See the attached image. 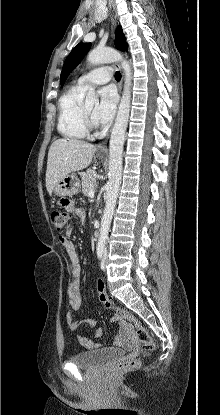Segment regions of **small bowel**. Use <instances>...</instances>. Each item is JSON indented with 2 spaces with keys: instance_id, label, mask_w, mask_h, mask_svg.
Masks as SVG:
<instances>
[{
  "instance_id": "1",
  "label": "small bowel",
  "mask_w": 220,
  "mask_h": 415,
  "mask_svg": "<svg viewBox=\"0 0 220 415\" xmlns=\"http://www.w3.org/2000/svg\"><path fill=\"white\" fill-rule=\"evenodd\" d=\"M66 209L67 211L77 215L82 220H85V213L83 209L79 207L78 205L70 204L66 207ZM71 232H72V227L69 226L64 234H61L58 236V240L60 244L62 245V247L64 248L65 253L68 257V271L71 275V281L68 286V297H69L70 309H69V312L67 313L66 320H67L69 329L72 331H75L79 328L81 324L75 319V316H74V313L80 308L81 299H82L81 292H80V281H79L81 267L79 263V257L75 250V246L70 239ZM97 291L99 293L105 292V285L103 282L99 281L97 283ZM83 323L91 327L96 326V321L93 319H87ZM103 333L104 331L102 328H97L94 335L96 337H99V336H102ZM77 339L80 345L90 350L97 349L102 346L99 343H95L94 341H92L85 335H79ZM121 343H122V340L119 337H116L113 341V344L115 345H118Z\"/></svg>"
}]
</instances>
